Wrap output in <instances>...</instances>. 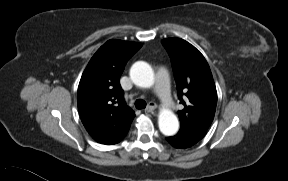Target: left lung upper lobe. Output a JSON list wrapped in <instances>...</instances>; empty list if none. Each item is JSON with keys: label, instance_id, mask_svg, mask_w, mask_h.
Listing matches in <instances>:
<instances>
[{"label": "left lung upper lobe", "instance_id": "obj_1", "mask_svg": "<svg viewBox=\"0 0 288 181\" xmlns=\"http://www.w3.org/2000/svg\"><path fill=\"white\" fill-rule=\"evenodd\" d=\"M161 42L171 58L178 98L184 105L178 111L181 129L207 131L215 115L217 91L206 59L183 39L167 38Z\"/></svg>", "mask_w": 288, "mask_h": 181}]
</instances>
